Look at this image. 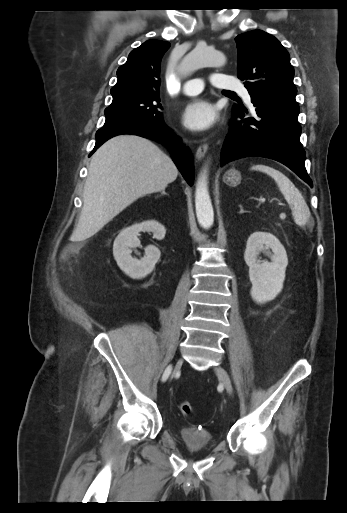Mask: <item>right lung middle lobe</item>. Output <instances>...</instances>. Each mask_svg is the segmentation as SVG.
<instances>
[{
	"label": "right lung middle lobe",
	"mask_w": 347,
	"mask_h": 513,
	"mask_svg": "<svg viewBox=\"0 0 347 513\" xmlns=\"http://www.w3.org/2000/svg\"><path fill=\"white\" fill-rule=\"evenodd\" d=\"M159 94L138 95L130 94L114 99L105 109L106 121L111 123L117 120L136 118L152 123L163 121Z\"/></svg>",
	"instance_id": "1"
}]
</instances>
